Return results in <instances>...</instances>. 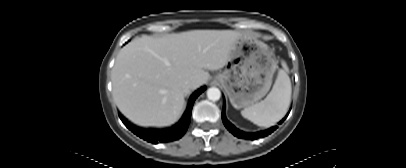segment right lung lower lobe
Wrapping results in <instances>:
<instances>
[{
  "mask_svg": "<svg viewBox=\"0 0 406 168\" xmlns=\"http://www.w3.org/2000/svg\"><path fill=\"white\" fill-rule=\"evenodd\" d=\"M205 90V87H202L198 91H196L193 96L191 97V101L189 107L177 123V125L169 128V129H142L131 125L127 122L121 115H119L120 119L124 123V125L131 130L134 134L139 136L140 138L151 142L153 144H157L158 142H171L174 140L180 139L186 132L190 119H191V112L193 104L196 98Z\"/></svg>",
  "mask_w": 406,
  "mask_h": 168,
  "instance_id": "1",
  "label": "right lung lower lobe"
}]
</instances>
